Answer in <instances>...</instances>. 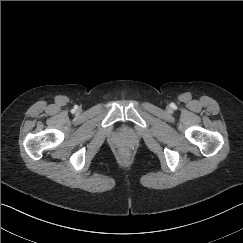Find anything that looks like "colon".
Listing matches in <instances>:
<instances>
[{
	"instance_id": "1",
	"label": "colon",
	"mask_w": 243,
	"mask_h": 243,
	"mask_svg": "<svg viewBox=\"0 0 243 243\" xmlns=\"http://www.w3.org/2000/svg\"><path fill=\"white\" fill-rule=\"evenodd\" d=\"M122 156L124 159H128V154L126 152H122Z\"/></svg>"
}]
</instances>
